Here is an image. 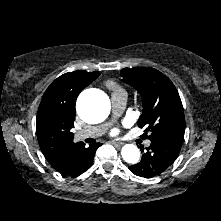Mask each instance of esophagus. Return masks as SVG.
I'll return each mask as SVG.
<instances>
[{
	"mask_svg": "<svg viewBox=\"0 0 221 221\" xmlns=\"http://www.w3.org/2000/svg\"><path fill=\"white\" fill-rule=\"evenodd\" d=\"M111 144L118 146V147H121L123 145L122 142H115V141H112Z\"/></svg>",
	"mask_w": 221,
	"mask_h": 221,
	"instance_id": "obj_1",
	"label": "esophagus"
}]
</instances>
